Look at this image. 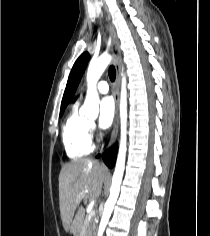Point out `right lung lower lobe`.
Returning a JSON list of instances; mask_svg holds the SVG:
<instances>
[{"mask_svg":"<svg viewBox=\"0 0 210 236\" xmlns=\"http://www.w3.org/2000/svg\"><path fill=\"white\" fill-rule=\"evenodd\" d=\"M116 154H117V145H114L109 150V154H108V151H106L103 154V159H104L105 163L108 165L109 168H112L114 166L115 160H116Z\"/></svg>","mask_w":210,"mask_h":236,"instance_id":"98d812e1","label":"right lung lower lobe"}]
</instances>
